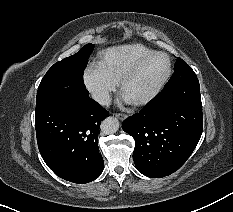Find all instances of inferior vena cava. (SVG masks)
Wrapping results in <instances>:
<instances>
[{
	"label": "inferior vena cava",
	"mask_w": 233,
	"mask_h": 212,
	"mask_svg": "<svg viewBox=\"0 0 233 212\" xmlns=\"http://www.w3.org/2000/svg\"><path fill=\"white\" fill-rule=\"evenodd\" d=\"M92 98L99 104L108 106L111 103V98L108 91H96L92 93Z\"/></svg>",
	"instance_id": "1"
}]
</instances>
